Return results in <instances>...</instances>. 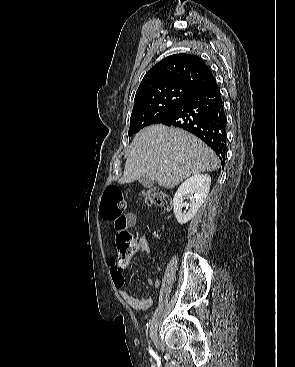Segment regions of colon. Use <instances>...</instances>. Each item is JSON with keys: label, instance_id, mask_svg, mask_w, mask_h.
I'll use <instances>...</instances> for the list:
<instances>
[{"label": "colon", "instance_id": "obj_1", "mask_svg": "<svg viewBox=\"0 0 295 367\" xmlns=\"http://www.w3.org/2000/svg\"><path fill=\"white\" fill-rule=\"evenodd\" d=\"M145 202L165 209L171 207V199L158 188H151L144 193ZM126 208L125 197L119 187L111 185L106 188L102 202V217L118 222ZM118 249L123 258L131 253L132 243L127 231L122 232L118 238Z\"/></svg>", "mask_w": 295, "mask_h": 367}]
</instances>
